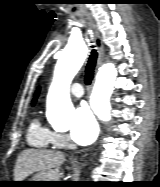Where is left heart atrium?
<instances>
[{
	"label": "left heart atrium",
	"instance_id": "left-heart-atrium-1",
	"mask_svg": "<svg viewBox=\"0 0 160 187\" xmlns=\"http://www.w3.org/2000/svg\"><path fill=\"white\" fill-rule=\"evenodd\" d=\"M98 135V124L87 104L79 106L75 112L71 137L81 145L91 144Z\"/></svg>",
	"mask_w": 160,
	"mask_h": 187
}]
</instances>
